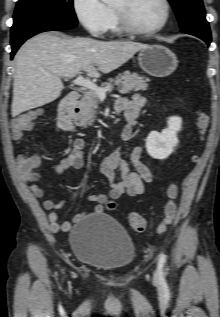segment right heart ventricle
Returning a JSON list of instances; mask_svg holds the SVG:
<instances>
[{
	"instance_id": "obj_1",
	"label": "right heart ventricle",
	"mask_w": 220,
	"mask_h": 317,
	"mask_svg": "<svg viewBox=\"0 0 220 317\" xmlns=\"http://www.w3.org/2000/svg\"><path fill=\"white\" fill-rule=\"evenodd\" d=\"M110 11H111V19H110V23H109L108 29L114 34H120V29H119V27L117 25L114 13H113V11L111 9H110Z\"/></svg>"
}]
</instances>
